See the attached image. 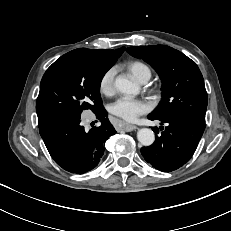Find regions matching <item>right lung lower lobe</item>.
Returning a JSON list of instances; mask_svg holds the SVG:
<instances>
[{"label":"right lung lower lobe","instance_id":"obj_1","mask_svg":"<svg viewBox=\"0 0 231 231\" xmlns=\"http://www.w3.org/2000/svg\"><path fill=\"white\" fill-rule=\"evenodd\" d=\"M101 125L88 132L80 118L58 119L39 126L40 135L54 161L64 170L83 174L98 165L104 143L116 131L104 108L95 112Z\"/></svg>","mask_w":231,"mask_h":231}]
</instances>
